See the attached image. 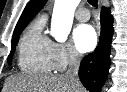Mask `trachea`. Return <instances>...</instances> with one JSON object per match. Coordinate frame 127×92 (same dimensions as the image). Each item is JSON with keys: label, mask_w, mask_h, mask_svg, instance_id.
I'll return each instance as SVG.
<instances>
[{"label": "trachea", "mask_w": 127, "mask_h": 92, "mask_svg": "<svg viewBox=\"0 0 127 92\" xmlns=\"http://www.w3.org/2000/svg\"><path fill=\"white\" fill-rule=\"evenodd\" d=\"M89 4L96 7L98 4V0H88Z\"/></svg>", "instance_id": "1"}]
</instances>
